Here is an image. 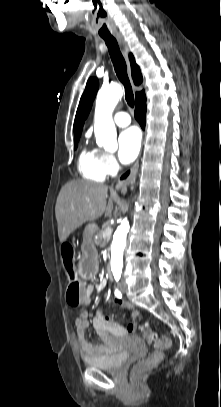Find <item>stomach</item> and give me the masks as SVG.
Wrapping results in <instances>:
<instances>
[{
	"label": "stomach",
	"mask_w": 221,
	"mask_h": 407,
	"mask_svg": "<svg viewBox=\"0 0 221 407\" xmlns=\"http://www.w3.org/2000/svg\"><path fill=\"white\" fill-rule=\"evenodd\" d=\"M97 267V258L93 250L83 248L81 257L78 262L77 270L83 279H88L93 276Z\"/></svg>",
	"instance_id": "0dacf381"
}]
</instances>
